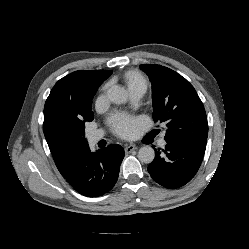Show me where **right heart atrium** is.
<instances>
[{
    "label": "right heart atrium",
    "instance_id": "right-heart-atrium-1",
    "mask_svg": "<svg viewBox=\"0 0 249 249\" xmlns=\"http://www.w3.org/2000/svg\"><path fill=\"white\" fill-rule=\"evenodd\" d=\"M107 89H108L107 84L102 87L101 93H100L98 100H97L98 104H100L105 99V94H106Z\"/></svg>",
    "mask_w": 249,
    "mask_h": 249
}]
</instances>
